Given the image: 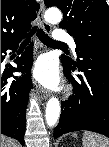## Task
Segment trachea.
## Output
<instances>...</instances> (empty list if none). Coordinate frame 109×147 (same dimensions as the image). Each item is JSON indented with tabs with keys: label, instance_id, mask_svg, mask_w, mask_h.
I'll list each match as a JSON object with an SVG mask.
<instances>
[{
	"label": "trachea",
	"instance_id": "obj_1",
	"mask_svg": "<svg viewBox=\"0 0 109 147\" xmlns=\"http://www.w3.org/2000/svg\"><path fill=\"white\" fill-rule=\"evenodd\" d=\"M35 26L32 28V30L30 31V33L28 34V38L25 39L22 43L21 46H26L30 43V39L33 36V34L37 31V35L40 39V41L45 44V45H60L58 44L55 40H53L52 38H50L41 28H39Z\"/></svg>",
	"mask_w": 109,
	"mask_h": 147
}]
</instances>
